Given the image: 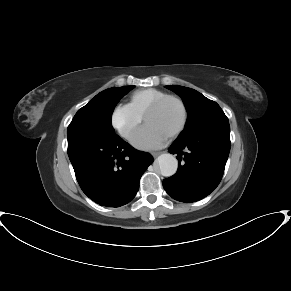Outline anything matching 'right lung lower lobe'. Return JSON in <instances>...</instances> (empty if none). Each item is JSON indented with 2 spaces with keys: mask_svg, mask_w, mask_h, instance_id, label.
<instances>
[{
  "mask_svg": "<svg viewBox=\"0 0 291 291\" xmlns=\"http://www.w3.org/2000/svg\"><path fill=\"white\" fill-rule=\"evenodd\" d=\"M68 156L82 191L101 206L130 202L153 157L134 149L119 136H67Z\"/></svg>",
  "mask_w": 291,
  "mask_h": 291,
  "instance_id": "right-lung-lower-lobe-1",
  "label": "right lung lower lobe"
}]
</instances>
